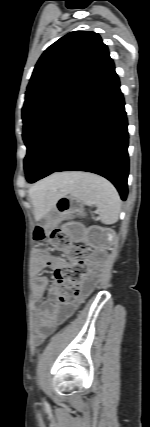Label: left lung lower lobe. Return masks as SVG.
Segmentation results:
<instances>
[{
    "mask_svg": "<svg viewBox=\"0 0 150 427\" xmlns=\"http://www.w3.org/2000/svg\"><path fill=\"white\" fill-rule=\"evenodd\" d=\"M127 118L112 62L37 133L27 152L29 183L59 171L101 175L127 197Z\"/></svg>",
    "mask_w": 150,
    "mask_h": 427,
    "instance_id": "obj_1",
    "label": "left lung lower lobe"
}]
</instances>
